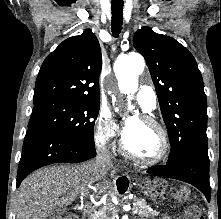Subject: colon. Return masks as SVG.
<instances>
[{"instance_id":"obj_1","label":"colon","mask_w":221,"mask_h":219,"mask_svg":"<svg viewBox=\"0 0 221 219\" xmlns=\"http://www.w3.org/2000/svg\"><path fill=\"white\" fill-rule=\"evenodd\" d=\"M180 196L184 197L186 192L184 190H179ZM65 219H75V216L69 215ZM183 219H205L202 211L199 208L191 207L188 209Z\"/></svg>"}]
</instances>
